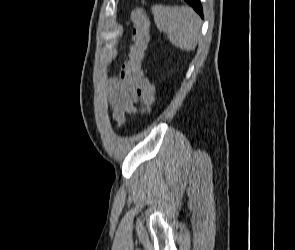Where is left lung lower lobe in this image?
<instances>
[{
    "instance_id": "obj_1",
    "label": "left lung lower lobe",
    "mask_w": 295,
    "mask_h": 250,
    "mask_svg": "<svg viewBox=\"0 0 295 250\" xmlns=\"http://www.w3.org/2000/svg\"><path fill=\"white\" fill-rule=\"evenodd\" d=\"M185 1L189 3L201 17H203V11H202V6L200 4V0H185Z\"/></svg>"
}]
</instances>
